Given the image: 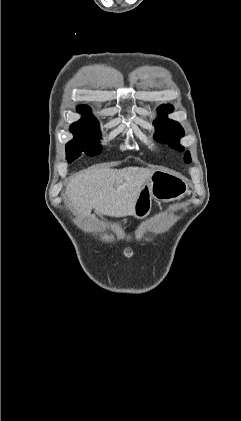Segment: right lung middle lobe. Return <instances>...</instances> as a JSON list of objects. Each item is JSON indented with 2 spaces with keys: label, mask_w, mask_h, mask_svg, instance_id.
<instances>
[{
  "label": "right lung middle lobe",
  "mask_w": 241,
  "mask_h": 421,
  "mask_svg": "<svg viewBox=\"0 0 241 421\" xmlns=\"http://www.w3.org/2000/svg\"><path fill=\"white\" fill-rule=\"evenodd\" d=\"M74 138L66 144L67 159L72 161L80 156L81 152L89 156L97 155L101 152L102 146L96 144L100 139L98 123L87 126H70Z\"/></svg>",
  "instance_id": "dd1d6c3e"
}]
</instances>
